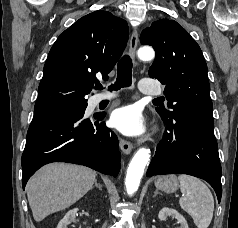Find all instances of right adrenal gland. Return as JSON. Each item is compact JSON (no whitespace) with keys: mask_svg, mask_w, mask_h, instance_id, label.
<instances>
[{"mask_svg":"<svg viewBox=\"0 0 238 228\" xmlns=\"http://www.w3.org/2000/svg\"><path fill=\"white\" fill-rule=\"evenodd\" d=\"M94 186L97 187L99 190H102V185L99 184V183L97 182V180H95ZM92 188H93V187H92Z\"/></svg>","mask_w":238,"mask_h":228,"instance_id":"1","label":"right adrenal gland"}]
</instances>
